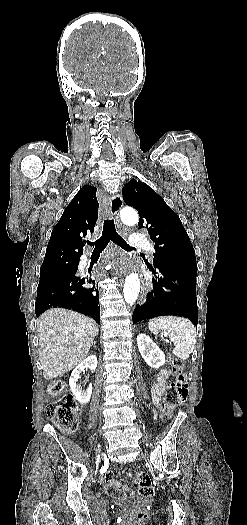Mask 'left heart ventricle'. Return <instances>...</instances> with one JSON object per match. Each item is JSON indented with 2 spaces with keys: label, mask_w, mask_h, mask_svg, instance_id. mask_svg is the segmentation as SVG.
I'll return each instance as SVG.
<instances>
[{
  "label": "left heart ventricle",
  "mask_w": 247,
  "mask_h": 525,
  "mask_svg": "<svg viewBox=\"0 0 247 525\" xmlns=\"http://www.w3.org/2000/svg\"><path fill=\"white\" fill-rule=\"evenodd\" d=\"M139 264H130L129 269H135L138 267Z\"/></svg>",
  "instance_id": "left-heart-ventricle-1"
}]
</instances>
